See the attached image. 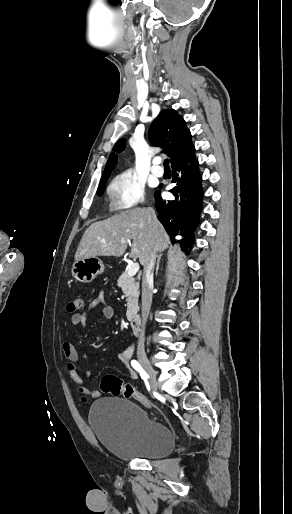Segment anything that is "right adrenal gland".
<instances>
[{"label":"right adrenal gland","mask_w":292,"mask_h":514,"mask_svg":"<svg viewBox=\"0 0 292 514\" xmlns=\"http://www.w3.org/2000/svg\"><path fill=\"white\" fill-rule=\"evenodd\" d=\"M157 258H158V260H157V262H156V272H155L156 276H157V274H158V270H159V264H160L161 256H157Z\"/></svg>","instance_id":"2a0ac1e0"}]
</instances>
